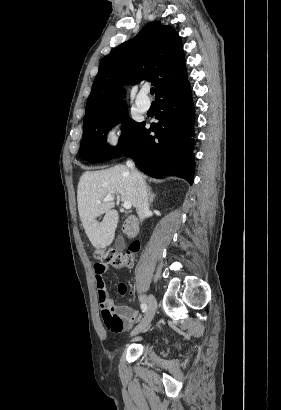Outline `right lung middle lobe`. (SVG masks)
Segmentation results:
<instances>
[{
  "mask_svg": "<svg viewBox=\"0 0 281 410\" xmlns=\"http://www.w3.org/2000/svg\"><path fill=\"white\" fill-rule=\"evenodd\" d=\"M123 121L119 144H107V134L111 127ZM142 123L130 120L126 108L110 112L98 119L83 124V138L80 146L82 160L102 161L120 156L130 145Z\"/></svg>",
  "mask_w": 281,
  "mask_h": 410,
  "instance_id": "1",
  "label": "right lung middle lobe"
}]
</instances>
